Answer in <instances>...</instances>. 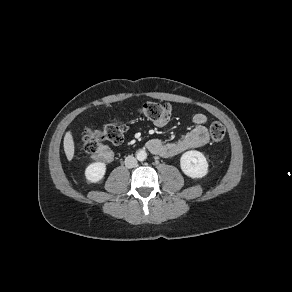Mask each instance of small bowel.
I'll return each mask as SVG.
<instances>
[{"instance_id":"c3829d8e","label":"small bowel","mask_w":292,"mask_h":292,"mask_svg":"<svg viewBox=\"0 0 292 292\" xmlns=\"http://www.w3.org/2000/svg\"><path fill=\"white\" fill-rule=\"evenodd\" d=\"M168 120L156 121L158 127L165 126ZM194 127L191 131L180 136L174 142H164L160 139H152L147 143L148 149L161 157H173L186 150L201 147L209 142L207 129L208 118L202 113L193 116Z\"/></svg>"}]
</instances>
